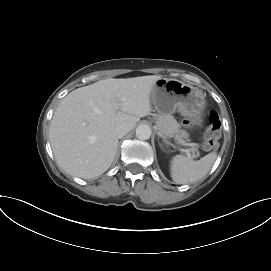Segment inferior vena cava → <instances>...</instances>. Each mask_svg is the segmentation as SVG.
<instances>
[{"label":"inferior vena cava","instance_id":"obj_1","mask_svg":"<svg viewBox=\"0 0 271 271\" xmlns=\"http://www.w3.org/2000/svg\"><path fill=\"white\" fill-rule=\"evenodd\" d=\"M131 126L130 124H120L119 126H117L116 128V136L118 138H122L123 136H125L130 130H131Z\"/></svg>","mask_w":271,"mask_h":271}]
</instances>
